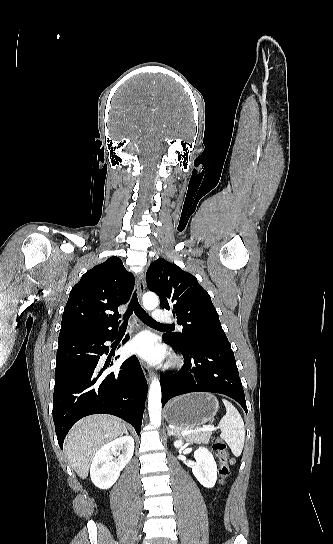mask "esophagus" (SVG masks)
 Here are the masks:
<instances>
[{
  "instance_id": "1",
  "label": "esophagus",
  "mask_w": 333,
  "mask_h": 544,
  "mask_svg": "<svg viewBox=\"0 0 333 544\" xmlns=\"http://www.w3.org/2000/svg\"><path fill=\"white\" fill-rule=\"evenodd\" d=\"M137 286H138V291H137L138 298L141 299L146 287V279H145L144 272L138 276ZM132 320L135 325L137 326L139 325V321L136 316H133ZM141 366H142L145 378L147 379V381H151L153 377L152 371L143 360H141Z\"/></svg>"
}]
</instances>
